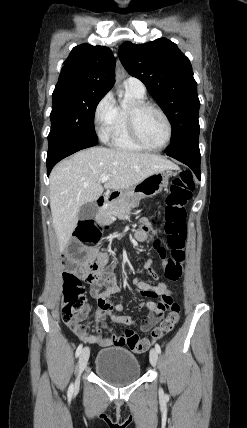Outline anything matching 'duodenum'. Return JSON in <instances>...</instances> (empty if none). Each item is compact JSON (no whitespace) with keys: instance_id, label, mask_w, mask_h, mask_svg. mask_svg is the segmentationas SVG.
I'll return each mask as SVG.
<instances>
[{"instance_id":"1","label":"duodenum","mask_w":247,"mask_h":428,"mask_svg":"<svg viewBox=\"0 0 247 428\" xmlns=\"http://www.w3.org/2000/svg\"><path fill=\"white\" fill-rule=\"evenodd\" d=\"M109 201H110V196L104 195L97 199V205L102 208L105 205H107Z\"/></svg>"}]
</instances>
